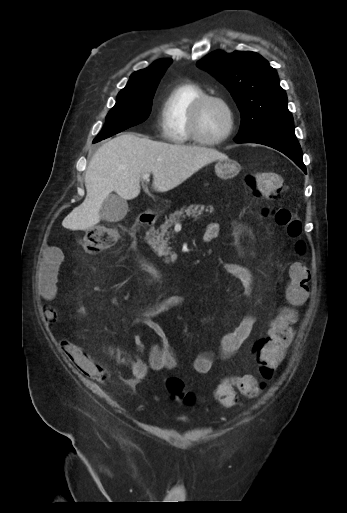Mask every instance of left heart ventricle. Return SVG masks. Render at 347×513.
<instances>
[{
	"label": "left heart ventricle",
	"mask_w": 347,
	"mask_h": 513,
	"mask_svg": "<svg viewBox=\"0 0 347 513\" xmlns=\"http://www.w3.org/2000/svg\"><path fill=\"white\" fill-rule=\"evenodd\" d=\"M228 114L225 108L218 102H208L204 105L199 130L203 137L215 139L222 136L228 127Z\"/></svg>",
	"instance_id": "1"
}]
</instances>
